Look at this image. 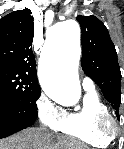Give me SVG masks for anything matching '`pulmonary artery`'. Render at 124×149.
<instances>
[{
  "instance_id": "e3ab8cb5",
  "label": "pulmonary artery",
  "mask_w": 124,
  "mask_h": 149,
  "mask_svg": "<svg viewBox=\"0 0 124 149\" xmlns=\"http://www.w3.org/2000/svg\"><path fill=\"white\" fill-rule=\"evenodd\" d=\"M82 85L85 90H93L94 89L93 81L87 77L83 79Z\"/></svg>"
}]
</instances>
